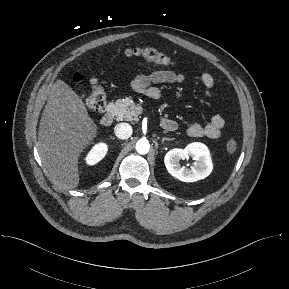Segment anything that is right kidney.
<instances>
[{"label": "right kidney", "mask_w": 289, "mask_h": 289, "mask_svg": "<svg viewBox=\"0 0 289 289\" xmlns=\"http://www.w3.org/2000/svg\"><path fill=\"white\" fill-rule=\"evenodd\" d=\"M108 151V146L105 143H98L93 146L87 154L85 161L87 165H95L102 160Z\"/></svg>", "instance_id": "right-kidney-1"}]
</instances>
